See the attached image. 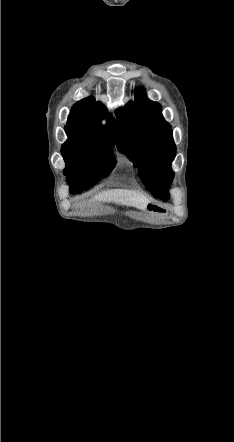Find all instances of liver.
I'll return each instance as SVG.
<instances>
[{
	"label": "liver",
	"mask_w": 234,
	"mask_h": 442,
	"mask_svg": "<svg viewBox=\"0 0 234 442\" xmlns=\"http://www.w3.org/2000/svg\"><path fill=\"white\" fill-rule=\"evenodd\" d=\"M93 200L103 202H114L121 205L133 206L144 210L149 200L143 195L130 190L113 189L97 194Z\"/></svg>",
	"instance_id": "obj_1"
}]
</instances>
